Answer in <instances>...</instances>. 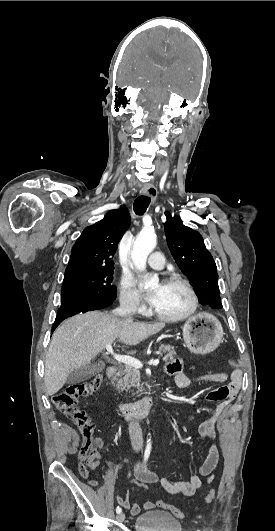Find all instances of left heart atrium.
I'll return each mask as SVG.
<instances>
[{
  "mask_svg": "<svg viewBox=\"0 0 275 531\" xmlns=\"http://www.w3.org/2000/svg\"><path fill=\"white\" fill-rule=\"evenodd\" d=\"M158 290L157 289H154L150 294H149V301L151 303H155V301L157 300V297H158Z\"/></svg>",
  "mask_w": 275,
  "mask_h": 531,
  "instance_id": "obj_1",
  "label": "left heart atrium"
}]
</instances>
